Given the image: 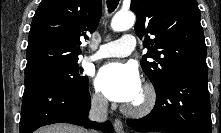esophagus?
I'll return each mask as SVG.
<instances>
[{
  "mask_svg": "<svg viewBox=\"0 0 221 133\" xmlns=\"http://www.w3.org/2000/svg\"><path fill=\"white\" fill-rule=\"evenodd\" d=\"M114 129H115L116 133H124L123 124L120 119H115Z\"/></svg>",
  "mask_w": 221,
  "mask_h": 133,
  "instance_id": "esophagus-1",
  "label": "esophagus"
}]
</instances>
